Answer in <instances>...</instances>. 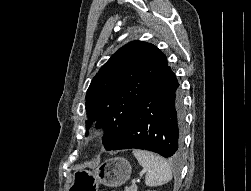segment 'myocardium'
I'll list each match as a JSON object with an SVG mask.
<instances>
[{"mask_svg": "<svg viewBox=\"0 0 251 191\" xmlns=\"http://www.w3.org/2000/svg\"><path fill=\"white\" fill-rule=\"evenodd\" d=\"M83 139L92 146H98L103 140V134L98 130H91L84 134Z\"/></svg>", "mask_w": 251, "mask_h": 191, "instance_id": "obj_1", "label": "myocardium"}]
</instances>
